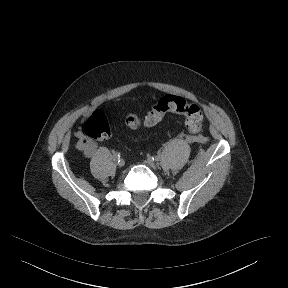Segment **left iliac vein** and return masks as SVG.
<instances>
[{"mask_svg":"<svg viewBox=\"0 0 288 288\" xmlns=\"http://www.w3.org/2000/svg\"><path fill=\"white\" fill-rule=\"evenodd\" d=\"M144 164L150 168L156 167V163L151 158H148L147 160H145Z\"/></svg>","mask_w":288,"mask_h":288,"instance_id":"left-iliac-vein-1","label":"left iliac vein"}]
</instances>
